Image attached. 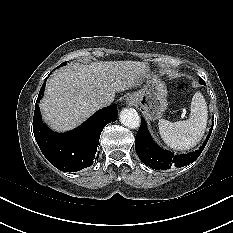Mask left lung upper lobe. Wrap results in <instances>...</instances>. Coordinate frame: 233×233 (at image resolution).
I'll return each mask as SVG.
<instances>
[{
	"mask_svg": "<svg viewBox=\"0 0 233 233\" xmlns=\"http://www.w3.org/2000/svg\"><path fill=\"white\" fill-rule=\"evenodd\" d=\"M200 84L206 85L205 81L200 78Z\"/></svg>",
	"mask_w": 233,
	"mask_h": 233,
	"instance_id": "5c2ea615",
	"label": "left lung upper lobe"
}]
</instances>
